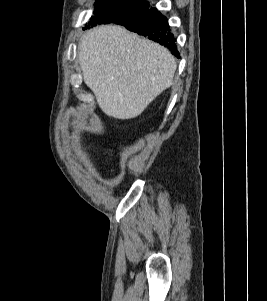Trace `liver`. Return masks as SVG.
Here are the masks:
<instances>
[{"instance_id":"obj_1","label":"liver","mask_w":267,"mask_h":301,"mask_svg":"<svg viewBox=\"0 0 267 301\" xmlns=\"http://www.w3.org/2000/svg\"><path fill=\"white\" fill-rule=\"evenodd\" d=\"M78 60L100 109L121 120L139 116L173 84L177 68L166 48L116 25L86 33Z\"/></svg>"}]
</instances>
